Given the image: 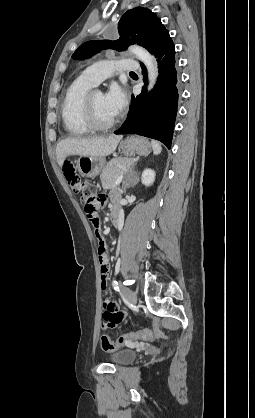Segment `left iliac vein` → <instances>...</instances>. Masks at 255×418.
<instances>
[{"label": "left iliac vein", "instance_id": "obj_1", "mask_svg": "<svg viewBox=\"0 0 255 418\" xmlns=\"http://www.w3.org/2000/svg\"><path fill=\"white\" fill-rule=\"evenodd\" d=\"M121 294L133 305L137 303V295L130 289L121 288Z\"/></svg>", "mask_w": 255, "mask_h": 418}]
</instances>
